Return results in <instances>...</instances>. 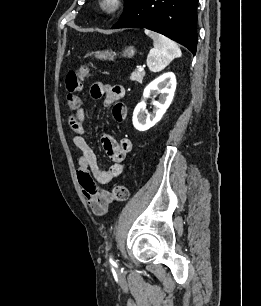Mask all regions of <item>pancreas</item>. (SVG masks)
Instances as JSON below:
<instances>
[{"instance_id": "obj_1", "label": "pancreas", "mask_w": 261, "mask_h": 306, "mask_svg": "<svg viewBox=\"0 0 261 306\" xmlns=\"http://www.w3.org/2000/svg\"><path fill=\"white\" fill-rule=\"evenodd\" d=\"M145 76V72H139V71H134L131 75H130V80L132 81H136L138 83H142L143 82V77Z\"/></svg>"}]
</instances>
